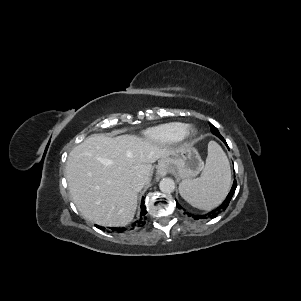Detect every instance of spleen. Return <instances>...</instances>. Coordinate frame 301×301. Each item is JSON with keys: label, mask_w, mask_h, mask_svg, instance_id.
Returning a JSON list of instances; mask_svg holds the SVG:
<instances>
[{"label": "spleen", "mask_w": 301, "mask_h": 301, "mask_svg": "<svg viewBox=\"0 0 301 301\" xmlns=\"http://www.w3.org/2000/svg\"><path fill=\"white\" fill-rule=\"evenodd\" d=\"M231 186L228 158L214 141L208 144V156L200 177L179 184L182 198L195 208L211 210L226 197Z\"/></svg>", "instance_id": "1"}]
</instances>
